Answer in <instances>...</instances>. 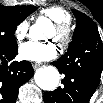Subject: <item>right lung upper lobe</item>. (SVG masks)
<instances>
[{"instance_id":"right-lung-upper-lobe-1","label":"right lung upper lobe","mask_w":103,"mask_h":103,"mask_svg":"<svg viewBox=\"0 0 103 103\" xmlns=\"http://www.w3.org/2000/svg\"><path fill=\"white\" fill-rule=\"evenodd\" d=\"M7 8L9 9V11H12V12H22L26 10V6H11Z\"/></svg>"}]
</instances>
